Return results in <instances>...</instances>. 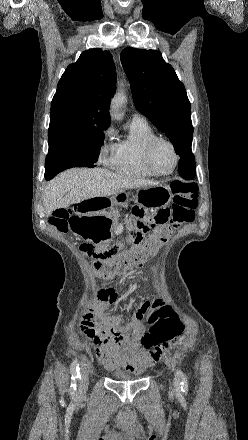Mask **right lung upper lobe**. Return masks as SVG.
Returning a JSON list of instances; mask_svg holds the SVG:
<instances>
[{
  "instance_id": "obj_1",
  "label": "right lung upper lobe",
  "mask_w": 248,
  "mask_h": 440,
  "mask_svg": "<svg viewBox=\"0 0 248 440\" xmlns=\"http://www.w3.org/2000/svg\"><path fill=\"white\" fill-rule=\"evenodd\" d=\"M116 71L109 51L82 52L63 73L51 102L49 145L108 128Z\"/></svg>"
}]
</instances>
